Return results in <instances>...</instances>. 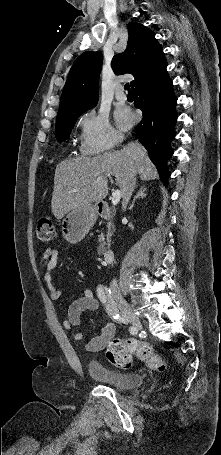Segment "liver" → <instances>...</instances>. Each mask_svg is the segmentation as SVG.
<instances>
[{
    "mask_svg": "<svg viewBox=\"0 0 221 455\" xmlns=\"http://www.w3.org/2000/svg\"><path fill=\"white\" fill-rule=\"evenodd\" d=\"M109 175L115 176L122 195L133 176L139 175L145 181L158 178L155 166L138 141L94 158L61 161L54 176L51 200L54 216L62 219L66 213L80 205L103 200L109 192ZM100 176L103 179L97 181Z\"/></svg>",
    "mask_w": 221,
    "mask_h": 455,
    "instance_id": "obj_1",
    "label": "liver"
}]
</instances>
